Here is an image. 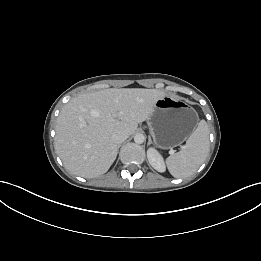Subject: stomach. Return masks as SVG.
I'll return each instance as SVG.
<instances>
[{"label": "stomach", "instance_id": "1", "mask_svg": "<svg viewBox=\"0 0 261 261\" xmlns=\"http://www.w3.org/2000/svg\"><path fill=\"white\" fill-rule=\"evenodd\" d=\"M147 120L154 143L164 149L184 142L199 124L198 113L193 107L170 96L161 97L155 103Z\"/></svg>", "mask_w": 261, "mask_h": 261}]
</instances>
